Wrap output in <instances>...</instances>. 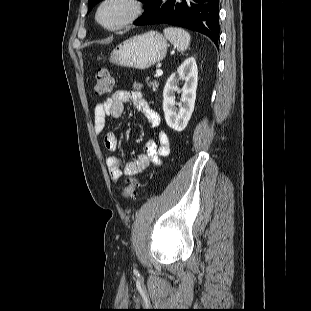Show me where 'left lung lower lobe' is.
Listing matches in <instances>:
<instances>
[{"instance_id":"obj_1","label":"left lung lower lobe","mask_w":311,"mask_h":311,"mask_svg":"<svg viewBox=\"0 0 311 311\" xmlns=\"http://www.w3.org/2000/svg\"><path fill=\"white\" fill-rule=\"evenodd\" d=\"M171 24L200 32L217 46L219 0H147L145 12L135 25Z\"/></svg>"}]
</instances>
